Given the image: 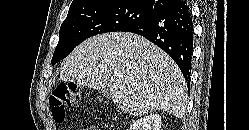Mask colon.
I'll list each match as a JSON object with an SVG mask.
<instances>
[{
	"label": "colon",
	"instance_id": "colon-1",
	"mask_svg": "<svg viewBox=\"0 0 249 130\" xmlns=\"http://www.w3.org/2000/svg\"><path fill=\"white\" fill-rule=\"evenodd\" d=\"M83 97L82 90L74 83H59L49 97L53 119L62 124L66 119V109L75 106Z\"/></svg>",
	"mask_w": 249,
	"mask_h": 130
}]
</instances>
